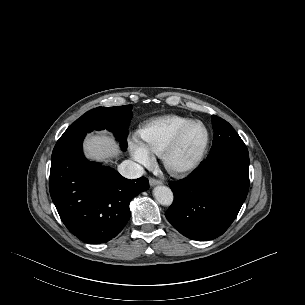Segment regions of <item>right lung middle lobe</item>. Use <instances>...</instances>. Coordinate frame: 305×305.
<instances>
[{"instance_id":"right-lung-middle-lobe-1","label":"right lung middle lobe","mask_w":305,"mask_h":305,"mask_svg":"<svg viewBox=\"0 0 305 305\" xmlns=\"http://www.w3.org/2000/svg\"><path fill=\"white\" fill-rule=\"evenodd\" d=\"M132 105L97 107L83 114L67 128L58 142L64 143L93 130L107 129L115 134L122 148H127L128 124L132 117Z\"/></svg>"}]
</instances>
